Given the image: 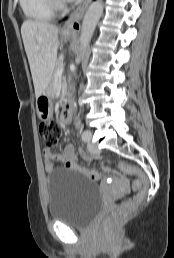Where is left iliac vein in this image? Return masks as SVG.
<instances>
[{
    "label": "left iliac vein",
    "instance_id": "obj_1",
    "mask_svg": "<svg viewBox=\"0 0 174 258\" xmlns=\"http://www.w3.org/2000/svg\"><path fill=\"white\" fill-rule=\"evenodd\" d=\"M90 137H92L91 133H90ZM88 149L92 154H98L99 153V149L91 142H89V144H88Z\"/></svg>",
    "mask_w": 174,
    "mask_h": 258
}]
</instances>
